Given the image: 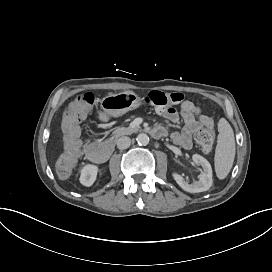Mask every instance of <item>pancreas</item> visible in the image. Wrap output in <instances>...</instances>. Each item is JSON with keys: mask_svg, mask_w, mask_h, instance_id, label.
I'll use <instances>...</instances> for the list:
<instances>
[{"mask_svg": "<svg viewBox=\"0 0 272 272\" xmlns=\"http://www.w3.org/2000/svg\"><path fill=\"white\" fill-rule=\"evenodd\" d=\"M138 131V128L121 127L113 131L112 139L117 140L122 135L132 134Z\"/></svg>", "mask_w": 272, "mask_h": 272, "instance_id": "obj_1", "label": "pancreas"}]
</instances>
